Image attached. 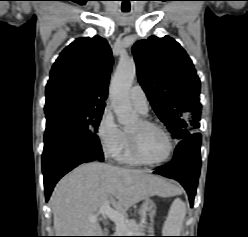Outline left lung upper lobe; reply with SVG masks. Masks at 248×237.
<instances>
[{
	"label": "left lung upper lobe",
	"instance_id": "5c2ea615",
	"mask_svg": "<svg viewBox=\"0 0 248 237\" xmlns=\"http://www.w3.org/2000/svg\"><path fill=\"white\" fill-rule=\"evenodd\" d=\"M138 80L152 108L173 138L199 128L200 79L185 50L173 38L151 36L133 46Z\"/></svg>",
	"mask_w": 248,
	"mask_h": 237
}]
</instances>
